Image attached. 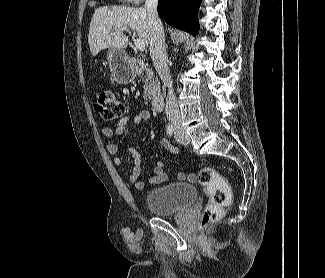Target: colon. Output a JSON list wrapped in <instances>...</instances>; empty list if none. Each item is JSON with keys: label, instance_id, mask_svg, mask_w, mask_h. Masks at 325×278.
Listing matches in <instances>:
<instances>
[{"label": "colon", "instance_id": "obj_1", "mask_svg": "<svg viewBox=\"0 0 325 278\" xmlns=\"http://www.w3.org/2000/svg\"><path fill=\"white\" fill-rule=\"evenodd\" d=\"M94 110L102 120L113 122L124 116L125 105L111 91L104 90L98 94ZM189 180L195 181L196 178L190 176ZM197 181L209 196V203L199 223L200 229H204L223 217L226 207L231 202L232 192L229 183L211 167H203L199 171Z\"/></svg>", "mask_w": 325, "mask_h": 278}]
</instances>
